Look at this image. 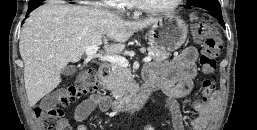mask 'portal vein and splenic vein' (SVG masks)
Returning <instances> with one entry per match:
<instances>
[{"label":"portal vein and splenic vein","mask_w":257,"mask_h":130,"mask_svg":"<svg viewBox=\"0 0 257 130\" xmlns=\"http://www.w3.org/2000/svg\"><path fill=\"white\" fill-rule=\"evenodd\" d=\"M98 49L99 47L97 45L89 47L85 52L87 58L91 59L95 57ZM100 60L110 62L112 64H116L122 67H128L129 65L128 60L122 56L106 55V56H101ZM151 60H152V53H150L147 57L143 59L144 62H150Z\"/></svg>","instance_id":"1"}]
</instances>
